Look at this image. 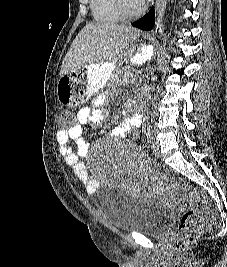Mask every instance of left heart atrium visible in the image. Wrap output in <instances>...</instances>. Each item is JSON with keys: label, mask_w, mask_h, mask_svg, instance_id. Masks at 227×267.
<instances>
[{"label": "left heart atrium", "mask_w": 227, "mask_h": 267, "mask_svg": "<svg viewBox=\"0 0 227 267\" xmlns=\"http://www.w3.org/2000/svg\"><path fill=\"white\" fill-rule=\"evenodd\" d=\"M134 1L139 7H142L147 3L148 0H134Z\"/></svg>", "instance_id": "left-heart-atrium-1"}]
</instances>
